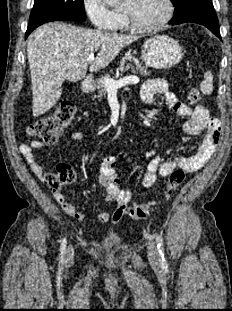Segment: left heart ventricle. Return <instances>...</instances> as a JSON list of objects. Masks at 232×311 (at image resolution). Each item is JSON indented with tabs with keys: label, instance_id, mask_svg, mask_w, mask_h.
<instances>
[{
	"label": "left heart ventricle",
	"instance_id": "b2bd125f",
	"mask_svg": "<svg viewBox=\"0 0 232 311\" xmlns=\"http://www.w3.org/2000/svg\"><path fill=\"white\" fill-rule=\"evenodd\" d=\"M122 9L129 12L141 26L156 24L165 14L163 0H125Z\"/></svg>",
	"mask_w": 232,
	"mask_h": 311
}]
</instances>
